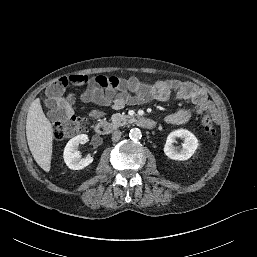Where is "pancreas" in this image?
Here are the masks:
<instances>
[{"label": "pancreas", "mask_w": 257, "mask_h": 257, "mask_svg": "<svg viewBox=\"0 0 257 257\" xmlns=\"http://www.w3.org/2000/svg\"><path fill=\"white\" fill-rule=\"evenodd\" d=\"M131 119L132 118L128 115L115 113L111 117V123H112L113 127L117 128L119 126L125 125Z\"/></svg>", "instance_id": "cf45deb5"}]
</instances>
